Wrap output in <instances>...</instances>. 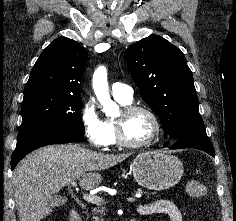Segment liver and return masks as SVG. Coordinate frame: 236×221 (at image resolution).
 <instances>
[{"label": "liver", "instance_id": "liver-1", "mask_svg": "<svg viewBox=\"0 0 236 221\" xmlns=\"http://www.w3.org/2000/svg\"><path fill=\"white\" fill-rule=\"evenodd\" d=\"M130 154H104L78 144L52 145L26 156L12 177L14 197L20 221H41L51 214L52 196L64 186L79 180L84 190L102 182L98 171L110 168Z\"/></svg>", "mask_w": 236, "mask_h": 221}]
</instances>
